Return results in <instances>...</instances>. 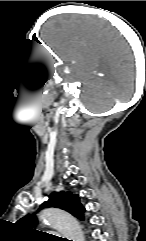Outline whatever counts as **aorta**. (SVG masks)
Wrapping results in <instances>:
<instances>
[{
  "label": "aorta",
  "mask_w": 146,
  "mask_h": 241,
  "mask_svg": "<svg viewBox=\"0 0 146 241\" xmlns=\"http://www.w3.org/2000/svg\"><path fill=\"white\" fill-rule=\"evenodd\" d=\"M41 220L54 226L65 238L72 241H85L79 223L66 211L59 208H46L40 214Z\"/></svg>",
  "instance_id": "aorta-1"
}]
</instances>
